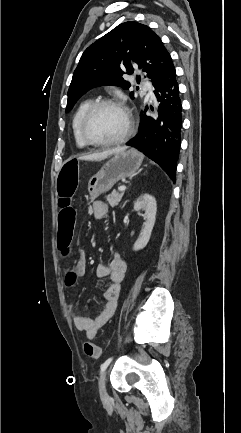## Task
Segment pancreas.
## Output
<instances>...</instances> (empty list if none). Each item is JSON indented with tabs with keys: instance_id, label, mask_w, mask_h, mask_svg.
<instances>
[{
	"instance_id": "1",
	"label": "pancreas",
	"mask_w": 241,
	"mask_h": 433,
	"mask_svg": "<svg viewBox=\"0 0 241 433\" xmlns=\"http://www.w3.org/2000/svg\"><path fill=\"white\" fill-rule=\"evenodd\" d=\"M123 195H124V193H118V192L113 191L110 195L106 196V200L109 203V205L112 208H114L119 204Z\"/></svg>"
}]
</instances>
